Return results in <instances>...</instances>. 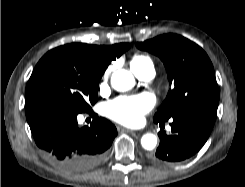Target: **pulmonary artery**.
<instances>
[{"label":"pulmonary artery","instance_id":"1","mask_svg":"<svg viewBox=\"0 0 245 187\" xmlns=\"http://www.w3.org/2000/svg\"><path fill=\"white\" fill-rule=\"evenodd\" d=\"M140 79L148 80L154 76V67L148 66L135 74Z\"/></svg>","mask_w":245,"mask_h":187}]
</instances>
